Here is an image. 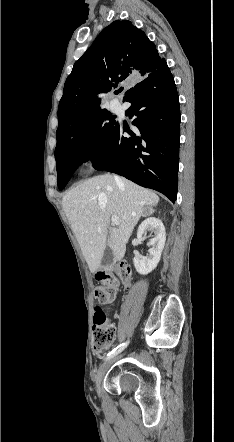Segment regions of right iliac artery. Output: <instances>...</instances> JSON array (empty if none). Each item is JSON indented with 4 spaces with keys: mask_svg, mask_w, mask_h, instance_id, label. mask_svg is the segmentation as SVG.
Listing matches in <instances>:
<instances>
[{
    "mask_svg": "<svg viewBox=\"0 0 234 442\" xmlns=\"http://www.w3.org/2000/svg\"><path fill=\"white\" fill-rule=\"evenodd\" d=\"M127 344L128 342L122 343L121 345L117 346L115 349H113L110 353L107 354L105 360H109L114 356H116L117 354H119L127 346Z\"/></svg>",
    "mask_w": 234,
    "mask_h": 442,
    "instance_id": "right-iliac-artery-1",
    "label": "right iliac artery"
}]
</instances>
